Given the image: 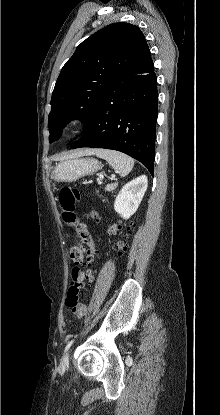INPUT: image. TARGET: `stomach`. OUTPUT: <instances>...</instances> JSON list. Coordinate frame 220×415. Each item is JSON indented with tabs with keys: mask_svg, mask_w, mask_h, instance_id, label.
Listing matches in <instances>:
<instances>
[{
	"mask_svg": "<svg viewBox=\"0 0 220 415\" xmlns=\"http://www.w3.org/2000/svg\"><path fill=\"white\" fill-rule=\"evenodd\" d=\"M100 169L94 158H74L60 162L53 172L56 181H75L83 176L92 175Z\"/></svg>",
	"mask_w": 220,
	"mask_h": 415,
	"instance_id": "stomach-1",
	"label": "stomach"
}]
</instances>
